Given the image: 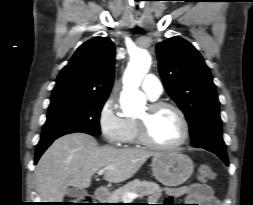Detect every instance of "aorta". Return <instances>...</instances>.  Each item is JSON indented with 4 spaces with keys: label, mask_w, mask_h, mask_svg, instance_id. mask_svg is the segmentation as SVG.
Listing matches in <instances>:
<instances>
[{
    "label": "aorta",
    "mask_w": 253,
    "mask_h": 205,
    "mask_svg": "<svg viewBox=\"0 0 253 205\" xmlns=\"http://www.w3.org/2000/svg\"><path fill=\"white\" fill-rule=\"evenodd\" d=\"M151 65V56L146 49L137 48L132 54L124 74L122 109L125 115H132L141 110L146 102L145 95L138 90L142 78Z\"/></svg>",
    "instance_id": "762f6f07"
}]
</instances>
